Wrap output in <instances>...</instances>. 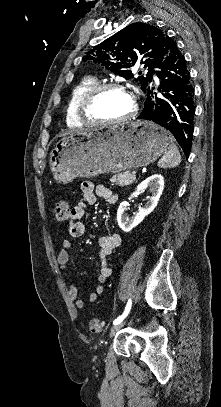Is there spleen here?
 I'll use <instances>...</instances> for the list:
<instances>
[{"mask_svg": "<svg viewBox=\"0 0 221 407\" xmlns=\"http://www.w3.org/2000/svg\"><path fill=\"white\" fill-rule=\"evenodd\" d=\"M180 162H181L180 152L172 139L168 150L165 152L163 157L158 161V166L161 168H174L178 166Z\"/></svg>", "mask_w": 221, "mask_h": 407, "instance_id": "obj_1", "label": "spleen"}]
</instances>
